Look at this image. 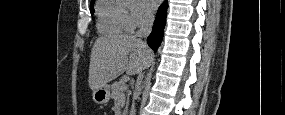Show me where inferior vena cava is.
Here are the masks:
<instances>
[{
  "label": "inferior vena cava",
  "instance_id": "obj_1",
  "mask_svg": "<svg viewBox=\"0 0 285 115\" xmlns=\"http://www.w3.org/2000/svg\"><path fill=\"white\" fill-rule=\"evenodd\" d=\"M153 16L152 15H147L143 18V20L141 21V24H140V28L139 30L136 32L135 34V38H137L138 41H140L141 43L145 44L143 41H142V38H146L150 33H151V29H152V25H153ZM142 79H143V73L142 71H140L138 73V84H141L142 82ZM136 100L137 101H140L141 100V97L143 95V90H136Z\"/></svg>",
  "mask_w": 285,
  "mask_h": 115
}]
</instances>
